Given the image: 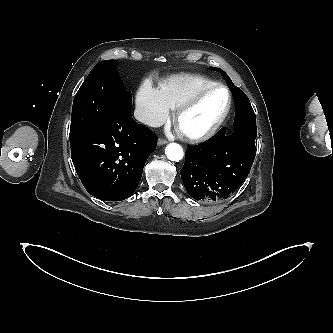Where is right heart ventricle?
I'll list each match as a JSON object with an SVG mask.
<instances>
[{
	"label": "right heart ventricle",
	"mask_w": 333,
	"mask_h": 333,
	"mask_svg": "<svg viewBox=\"0 0 333 333\" xmlns=\"http://www.w3.org/2000/svg\"><path fill=\"white\" fill-rule=\"evenodd\" d=\"M216 83L215 80L199 74H178L164 80L160 94L171 110H177L200 89Z\"/></svg>",
	"instance_id": "1"
}]
</instances>
